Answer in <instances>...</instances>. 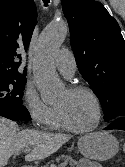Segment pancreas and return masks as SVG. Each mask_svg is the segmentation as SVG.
I'll list each match as a JSON object with an SVG mask.
<instances>
[{"label":"pancreas","mask_w":125,"mask_h":167,"mask_svg":"<svg viewBox=\"0 0 125 167\" xmlns=\"http://www.w3.org/2000/svg\"><path fill=\"white\" fill-rule=\"evenodd\" d=\"M60 158H62L64 161L68 162L70 167H74L76 165V163H77L71 156H61V157H58L56 159V161L58 162L60 160ZM44 167H49V166L46 165ZM50 167H53V166H50Z\"/></svg>","instance_id":"cf45deb5"}]
</instances>
